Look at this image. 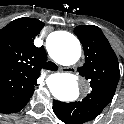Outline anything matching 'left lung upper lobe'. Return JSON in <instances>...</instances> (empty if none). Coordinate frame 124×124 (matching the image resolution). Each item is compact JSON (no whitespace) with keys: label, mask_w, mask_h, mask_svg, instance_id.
<instances>
[{"label":"left lung upper lobe","mask_w":124,"mask_h":124,"mask_svg":"<svg viewBox=\"0 0 124 124\" xmlns=\"http://www.w3.org/2000/svg\"><path fill=\"white\" fill-rule=\"evenodd\" d=\"M84 49L86 62L78 71L91 86V92L78 102H59L61 121L84 124L97 117L111 102L120 77L117 56L102 30L94 25L74 30Z\"/></svg>","instance_id":"obj_1"}]
</instances>
